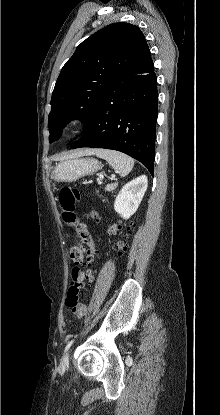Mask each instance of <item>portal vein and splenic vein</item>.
<instances>
[{
  "label": "portal vein and splenic vein",
  "mask_w": 220,
  "mask_h": 415,
  "mask_svg": "<svg viewBox=\"0 0 220 415\" xmlns=\"http://www.w3.org/2000/svg\"><path fill=\"white\" fill-rule=\"evenodd\" d=\"M104 176L103 175H100V178H103Z\"/></svg>",
  "instance_id": "1"
}]
</instances>
